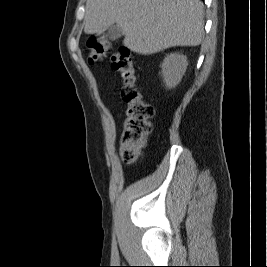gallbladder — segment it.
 I'll return each mask as SVG.
<instances>
[{"label":"gallbladder","instance_id":"1","mask_svg":"<svg viewBox=\"0 0 267 267\" xmlns=\"http://www.w3.org/2000/svg\"><path fill=\"white\" fill-rule=\"evenodd\" d=\"M122 35H123L122 28L118 25H112L109 27L106 37L107 39L114 41L120 38Z\"/></svg>","mask_w":267,"mask_h":267}]
</instances>
